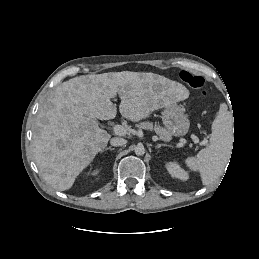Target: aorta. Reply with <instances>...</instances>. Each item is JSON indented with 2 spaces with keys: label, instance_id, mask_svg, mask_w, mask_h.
Returning <instances> with one entry per match:
<instances>
[{
  "label": "aorta",
  "instance_id": "1",
  "mask_svg": "<svg viewBox=\"0 0 259 259\" xmlns=\"http://www.w3.org/2000/svg\"><path fill=\"white\" fill-rule=\"evenodd\" d=\"M135 154H136L137 156H142V155H144V154H145V148H144V146H143V145H137V146L135 147Z\"/></svg>",
  "mask_w": 259,
  "mask_h": 259
}]
</instances>
